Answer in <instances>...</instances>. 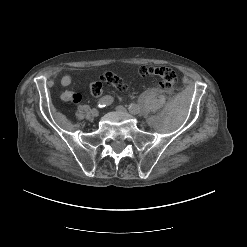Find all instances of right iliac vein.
<instances>
[{"label":"right iliac vein","mask_w":247,"mask_h":247,"mask_svg":"<svg viewBox=\"0 0 247 247\" xmlns=\"http://www.w3.org/2000/svg\"><path fill=\"white\" fill-rule=\"evenodd\" d=\"M92 115H93L94 117H97V116L99 115V111H98L97 109H93V110H92Z\"/></svg>","instance_id":"right-iliac-vein-1"}]
</instances>
